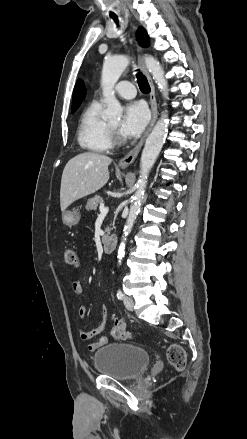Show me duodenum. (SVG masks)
<instances>
[{
    "mask_svg": "<svg viewBox=\"0 0 247 439\" xmlns=\"http://www.w3.org/2000/svg\"><path fill=\"white\" fill-rule=\"evenodd\" d=\"M117 237L115 235H110L106 237L103 241V249L107 254L112 253L117 247Z\"/></svg>",
    "mask_w": 247,
    "mask_h": 439,
    "instance_id": "duodenum-1",
    "label": "duodenum"
}]
</instances>
